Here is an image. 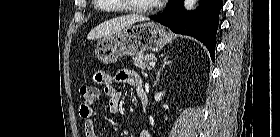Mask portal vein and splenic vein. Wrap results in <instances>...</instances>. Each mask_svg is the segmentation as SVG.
Returning a JSON list of instances; mask_svg holds the SVG:
<instances>
[{
	"mask_svg": "<svg viewBox=\"0 0 280 137\" xmlns=\"http://www.w3.org/2000/svg\"><path fill=\"white\" fill-rule=\"evenodd\" d=\"M155 64H156V63H155L154 61H151V62L149 63L150 66H155Z\"/></svg>",
	"mask_w": 280,
	"mask_h": 137,
	"instance_id": "18ae733b",
	"label": "portal vein and splenic vein"
}]
</instances>
